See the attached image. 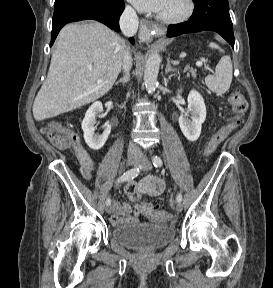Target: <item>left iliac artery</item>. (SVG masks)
<instances>
[{
	"mask_svg": "<svg viewBox=\"0 0 273 288\" xmlns=\"http://www.w3.org/2000/svg\"><path fill=\"white\" fill-rule=\"evenodd\" d=\"M152 162H153V165L157 168V167H161L162 166V160L159 156L155 155L152 157ZM177 202H181L182 201V195L181 193H179L177 195V198H176Z\"/></svg>",
	"mask_w": 273,
	"mask_h": 288,
	"instance_id": "1",
	"label": "left iliac artery"
}]
</instances>
